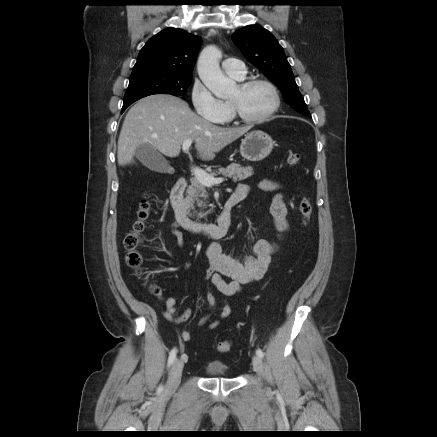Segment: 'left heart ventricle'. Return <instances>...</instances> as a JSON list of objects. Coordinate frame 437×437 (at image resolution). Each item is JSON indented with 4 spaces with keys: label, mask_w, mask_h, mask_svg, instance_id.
Segmentation results:
<instances>
[{
    "label": "left heart ventricle",
    "mask_w": 437,
    "mask_h": 437,
    "mask_svg": "<svg viewBox=\"0 0 437 437\" xmlns=\"http://www.w3.org/2000/svg\"><path fill=\"white\" fill-rule=\"evenodd\" d=\"M229 100L236 103L240 111L248 117H259L265 114L273 104L271 90L265 85H255L243 90L236 87Z\"/></svg>",
    "instance_id": "1"
}]
</instances>
